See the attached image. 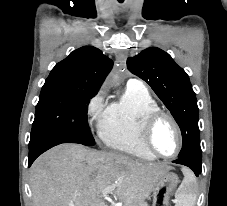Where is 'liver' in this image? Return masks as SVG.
Wrapping results in <instances>:
<instances>
[{"instance_id":"obj_1","label":"liver","mask_w":227,"mask_h":206,"mask_svg":"<svg viewBox=\"0 0 227 206\" xmlns=\"http://www.w3.org/2000/svg\"><path fill=\"white\" fill-rule=\"evenodd\" d=\"M171 168L116 153L61 144L42 154L30 169L33 206H107L108 193L131 206L148 198ZM115 186V189L103 191Z\"/></svg>"}]
</instances>
